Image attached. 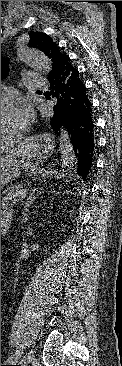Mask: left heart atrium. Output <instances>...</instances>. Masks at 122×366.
<instances>
[{"label":"left heart atrium","instance_id":"1","mask_svg":"<svg viewBox=\"0 0 122 366\" xmlns=\"http://www.w3.org/2000/svg\"><path fill=\"white\" fill-rule=\"evenodd\" d=\"M18 111L21 116L22 122L28 121V119L30 118V107L23 100L18 101Z\"/></svg>","mask_w":122,"mask_h":366}]
</instances>
